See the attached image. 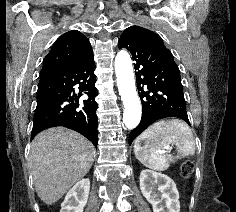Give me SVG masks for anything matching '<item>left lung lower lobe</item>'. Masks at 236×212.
Masks as SVG:
<instances>
[{"instance_id":"left-lung-lower-lobe-1","label":"left lung lower lobe","mask_w":236,"mask_h":212,"mask_svg":"<svg viewBox=\"0 0 236 212\" xmlns=\"http://www.w3.org/2000/svg\"><path fill=\"white\" fill-rule=\"evenodd\" d=\"M118 46L132 53L142 101V118L131 131L129 144L149 125L163 118L178 117L190 125L180 71L162 39L144 28H127Z\"/></svg>"}]
</instances>
